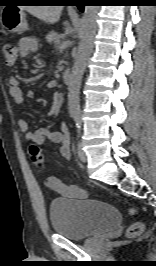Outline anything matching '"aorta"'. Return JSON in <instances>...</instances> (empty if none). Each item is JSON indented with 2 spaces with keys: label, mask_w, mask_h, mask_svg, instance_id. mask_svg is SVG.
<instances>
[{
  "label": "aorta",
  "mask_w": 156,
  "mask_h": 266,
  "mask_svg": "<svg viewBox=\"0 0 156 266\" xmlns=\"http://www.w3.org/2000/svg\"><path fill=\"white\" fill-rule=\"evenodd\" d=\"M98 6H86L82 18L81 40L68 83V109L71 116L80 114V87L87 62L93 51L97 31Z\"/></svg>",
  "instance_id": "aorta-1"
}]
</instances>
